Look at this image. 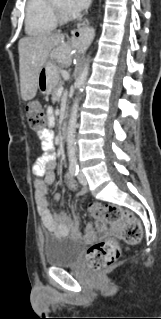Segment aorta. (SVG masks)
Masks as SVG:
<instances>
[{"mask_svg":"<svg viewBox=\"0 0 161 319\" xmlns=\"http://www.w3.org/2000/svg\"><path fill=\"white\" fill-rule=\"evenodd\" d=\"M88 73H89V60L87 59V63L85 64L84 68L82 69L75 83L79 92H81L85 86ZM78 103H79V98H76L71 108V114H70V119L68 123V129H67V152H68L70 165L77 164L75 134H76L77 117H78V114H77Z\"/></svg>","mask_w":161,"mask_h":319,"instance_id":"762f6f07","label":"aorta"}]
</instances>
